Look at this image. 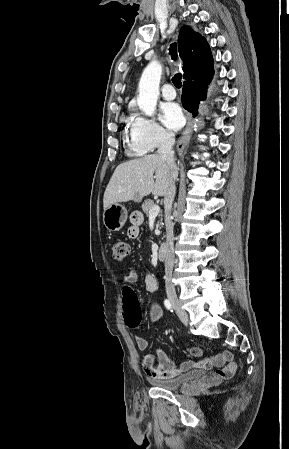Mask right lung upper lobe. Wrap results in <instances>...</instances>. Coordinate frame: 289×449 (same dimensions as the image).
<instances>
[{
	"instance_id": "obj_1",
	"label": "right lung upper lobe",
	"mask_w": 289,
	"mask_h": 449,
	"mask_svg": "<svg viewBox=\"0 0 289 449\" xmlns=\"http://www.w3.org/2000/svg\"><path fill=\"white\" fill-rule=\"evenodd\" d=\"M179 54L183 60L186 81L202 77L214 64L206 39L191 27L184 25L178 38Z\"/></svg>"
}]
</instances>
